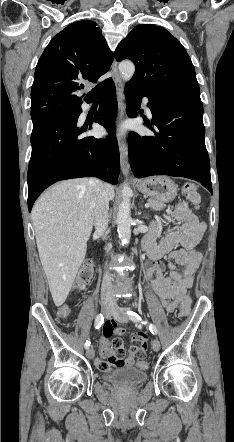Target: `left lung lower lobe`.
<instances>
[{
  "mask_svg": "<svg viewBox=\"0 0 234 442\" xmlns=\"http://www.w3.org/2000/svg\"><path fill=\"white\" fill-rule=\"evenodd\" d=\"M127 114L137 116L141 98L148 97L155 136L130 132L129 161L136 178L182 176L201 182L212 193L209 156L205 146L203 104L199 96L152 95L126 85Z\"/></svg>",
  "mask_w": 234,
  "mask_h": 442,
  "instance_id": "1",
  "label": "left lung lower lobe"
}]
</instances>
